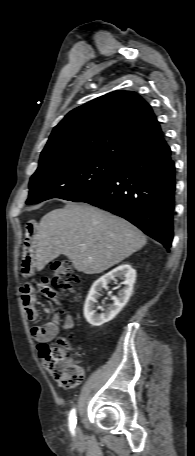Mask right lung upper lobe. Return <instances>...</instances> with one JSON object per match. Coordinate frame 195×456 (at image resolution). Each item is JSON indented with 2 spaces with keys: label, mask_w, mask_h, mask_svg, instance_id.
Masks as SVG:
<instances>
[{
  "label": "right lung upper lobe",
  "mask_w": 195,
  "mask_h": 456,
  "mask_svg": "<svg viewBox=\"0 0 195 456\" xmlns=\"http://www.w3.org/2000/svg\"><path fill=\"white\" fill-rule=\"evenodd\" d=\"M150 105L132 91H114L69 112L53 129L39 164L66 158L123 163L166 146Z\"/></svg>",
  "instance_id": "right-lung-upper-lobe-1"
}]
</instances>
